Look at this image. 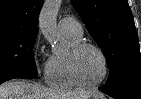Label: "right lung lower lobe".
Wrapping results in <instances>:
<instances>
[{"mask_svg":"<svg viewBox=\"0 0 141 99\" xmlns=\"http://www.w3.org/2000/svg\"><path fill=\"white\" fill-rule=\"evenodd\" d=\"M31 76H33V75L26 74V73H15V74L0 76V84H2L3 82H5L7 80H10V79L24 78V77H31Z\"/></svg>","mask_w":141,"mask_h":99,"instance_id":"1","label":"right lung lower lobe"}]
</instances>
